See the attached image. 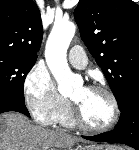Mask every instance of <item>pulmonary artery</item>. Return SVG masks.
Here are the masks:
<instances>
[{
    "instance_id": "e3ab8cb5",
    "label": "pulmonary artery",
    "mask_w": 139,
    "mask_h": 150,
    "mask_svg": "<svg viewBox=\"0 0 139 150\" xmlns=\"http://www.w3.org/2000/svg\"><path fill=\"white\" fill-rule=\"evenodd\" d=\"M68 59L70 63L76 68H84L87 65V56L83 50V48L79 45L73 46L69 53Z\"/></svg>"
}]
</instances>
